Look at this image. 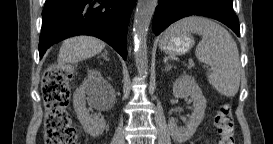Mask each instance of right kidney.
Wrapping results in <instances>:
<instances>
[{"mask_svg": "<svg viewBox=\"0 0 273 144\" xmlns=\"http://www.w3.org/2000/svg\"><path fill=\"white\" fill-rule=\"evenodd\" d=\"M95 87L113 91L111 85L104 80L101 73L97 70H92L89 72L87 80L74 93L73 106L84 131L93 137H98L103 134L106 122L97 115H91L89 110L86 109V95L89 96L90 100L94 99Z\"/></svg>", "mask_w": 273, "mask_h": 144, "instance_id": "1", "label": "right kidney"}]
</instances>
